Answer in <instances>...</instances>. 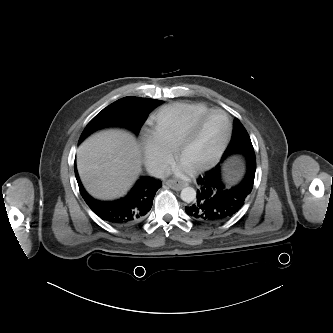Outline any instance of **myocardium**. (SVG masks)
<instances>
[{
    "instance_id": "obj_1",
    "label": "myocardium",
    "mask_w": 333,
    "mask_h": 333,
    "mask_svg": "<svg viewBox=\"0 0 333 333\" xmlns=\"http://www.w3.org/2000/svg\"><path fill=\"white\" fill-rule=\"evenodd\" d=\"M215 113L222 114L226 118V120H227L226 134H225L222 142L220 143L218 149L216 150L215 154L213 155V157L206 163H203L201 165H198V166L192 168L191 171L193 173H201V172L207 171V170L213 168L220 161V159L223 156V154L225 153V151L229 145V142L231 140V137H232L233 123H232V119H231L230 115L226 111L219 109V108H212V109L208 110L206 113H204L200 117L196 118L188 126V128L185 130V132L182 134V136L179 138V140L177 141V143L174 146L173 150H174L175 158L179 160L181 153L186 148L188 143L191 141V139L195 135L197 129L201 125V123L205 119H207L209 116H211L212 114H215Z\"/></svg>"
}]
</instances>
